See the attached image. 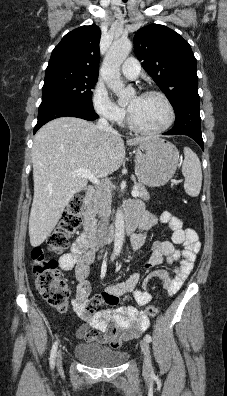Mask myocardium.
Returning <instances> with one entry per match:
<instances>
[{"instance_id":"1","label":"myocardium","mask_w":227,"mask_h":396,"mask_svg":"<svg viewBox=\"0 0 227 396\" xmlns=\"http://www.w3.org/2000/svg\"><path fill=\"white\" fill-rule=\"evenodd\" d=\"M141 96H156V97L160 98L167 108L168 119L161 127H158L155 129H146V128L139 126L135 122L130 110L128 109L127 110V123L129 125V127L135 132H138L141 134H146V135H158V134H161V133L167 131L173 125V123L175 121V109H174V106L171 103L170 99L162 92L156 91V90H146L141 94Z\"/></svg>"}]
</instances>
